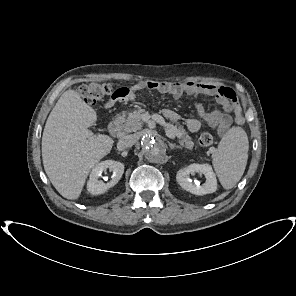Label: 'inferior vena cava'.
<instances>
[{"instance_id":"inferior-vena-cava-1","label":"inferior vena cava","mask_w":296,"mask_h":296,"mask_svg":"<svg viewBox=\"0 0 296 296\" xmlns=\"http://www.w3.org/2000/svg\"><path fill=\"white\" fill-rule=\"evenodd\" d=\"M136 139L133 135H125L118 141L119 148H128L131 147L135 143Z\"/></svg>"}]
</instances>
